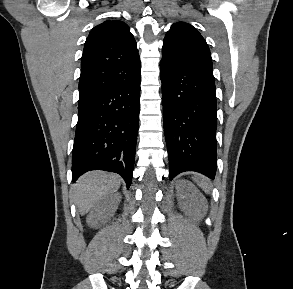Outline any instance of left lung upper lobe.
<instances>
[{"mask_svg":"<svg viewBox=\"0 0 293 289\" xmlns=\"http://www.w3.org/2000/svg\"><path fill=\"white\" fill-rule=\"evenodd\" d=\"M162 60L195 70L212 71L209 47L190 24L177 22L167 32L162 47Z\"/></svg>","mask_w":293,"mask_h":289,"instance_id":"5c2ea615","label":"left lung upper lobe"}]
</instances>
